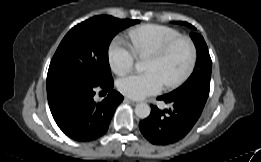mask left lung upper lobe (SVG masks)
I'll return each mask as SVG.
<instances>
[{
    "label": "left lung upper lobe",
    "instance_id": "left-lung-upper-lobe-1",
    "mask_svg": "<svg viewBox=\"0 0 261 162\" xmlns=\"http://www.w3.org/2000/svg\"><path fill=\"white\" fill-rule=\"evenodd\" d=\"M195 29L192 25L186 22H177ZM197 50V61L193 73L188 80L178 89L171 93L179 91H198L201 94L208 96L210 90L211 66L212 61L208 52V47L203 37L197 33L190 34Z\"/></svg>",
    "mask_w": 261,
    "mask_h": 162
}]
</instances>
